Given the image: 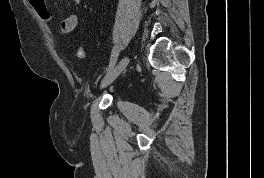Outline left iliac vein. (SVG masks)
<instances>
[{"mask_svg":"<svg viewBox=\"0 0 264 178\" xmlns=\"http://www.w3.org/2000/svg\"><path fill=\"white\" fill-rule=\"evenodd\" d=\"M129 62L130 58L128 56L122 58L120 62L102 79L100 88L104 89L105 87L110 85L123 72Z\"/></svg>","mask_w":264,"mask_h":178,"instance_id":"left-iliac-vein-1","label":"left iliac vein"}]
</instances>
